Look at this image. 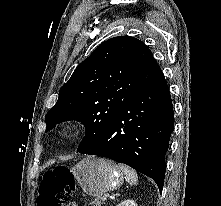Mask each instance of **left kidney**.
Masks as SVG:
<instances>
[{
    "mask_svg": "<svg viewBox=\"0 0 221 206\" xmlns=\"http://www.w3.org/2000/svg\"><path fill=\"white\" fill-rule=\"evenodd\" d=\"M117 206H137L135 201L131 199H127L119 203Z\"/></svg>",
    "mask_w": 221,
    "mask_h": 206,
    "instance_id": "1",
    "label": "left kidney"
}]
</instances>
